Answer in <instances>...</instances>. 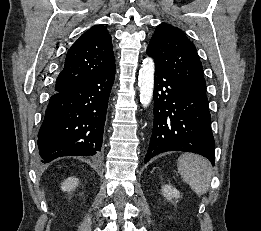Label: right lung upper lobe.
Instances as JSON below:
<instances>
[{
  "mask_svg": "<svg viewBox=\"0 0 261 231\" xmlns=\"http://www.w3.org/2000/svg\"><path fill=\"white\" fill-rule=\"evenodd\" d=\"M115 66L111 35L103 25H95L69 49L55 92L89 81Z\"/></svg>",
  "mask_w": 261,
  "mask_h": 231,
  "instance_id": "obj_1",
  "label": "right lung upper lobe"
}]
</instances>
